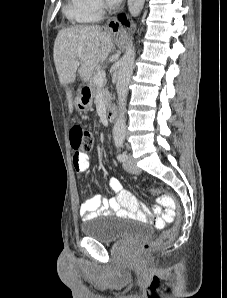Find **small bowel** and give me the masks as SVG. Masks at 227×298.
Returning a JSON list of instances; mask_svg holds the SVG:
<instances>
[{
	"mask_svg": "<svg viewBox=\"0 0 227 298\" xmlns=\"http://www.w3.org/2000/svg\"><path fill=\"white\" fill-rule=\"evenodd\" d=\"M73 166L78 178L89 176L90 160L86 150L76 151L73 156ZM109 187L114 193V196L110 199H106L101 195H94L85 200L80 208V217L82 220L114 215L123 218L145 219L147 217L148 208L145 205H139L135 197L123 189L117 178H109ZM163 214L164 217L162 220L164 224L169 219L165 216L164 211Z\"/></svg>",
	"mask_w": 227,
	"mask_h": 298,
	"instance_id": "c3829d8e",
	"label": "small bowel"
}]
</instances>
